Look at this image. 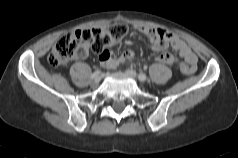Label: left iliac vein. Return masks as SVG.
Masks as SVG:
<instances>
[{
    "instance_id": "obj_1",
    "label": "left iliac vein",
    "mask_w": 238,
    "mask_h": 158,
    "mask_svg": "<svg viewBox=\"0 0 238 158\" xmlns=\"http://www.w3.org/2000/svg\"><path fill=\"white\" fill-rule=\"evenodd\" d=\"M126 73H127L129 76H131L132 78H136V77H137L136 72L133 71V70L128 69V70H126Z\"/></svg>"
}]
</instances>
